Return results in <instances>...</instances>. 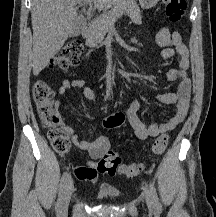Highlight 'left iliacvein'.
Returning <instances> with one entry per match:
<instances>
[{"instance_id":"obj_1","label":"left iliac vein","mask_w":216,"mask_h":217,"mask_svg":"<svg viewBox=\"0 0 216 217\" xmlns=\"http://www.w3.org/2000/svg\"><path fill=\"white\" fill-rule=\"evenodd\" d=\"M145 201H146L147 206L151 209L152 208V199H151V196L147 190H145Z\"/></svg>"}]
</instances>
